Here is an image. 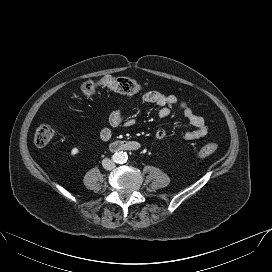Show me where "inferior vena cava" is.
Segmentation results:
<instances>
[{"label": "inferior vena cava", "instance_id": "obj_1", "mask_svg": "<svg viewBox=\"0 0 272 272\" xmlns=\"http://www.w3.org/2000/svg\"><path fill=\"white\" fill-rule=\"evenodd\" d=\"M102 166L106 170H112L115 168V163L111 159L105 158L102 160Z\"/></svg>", "mask_w": 272, "mask_h": 272}]
</instances>
